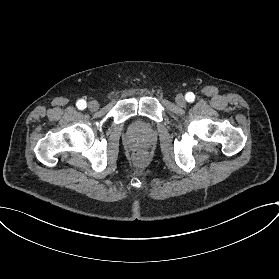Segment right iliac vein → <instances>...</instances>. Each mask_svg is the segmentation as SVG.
Masks as SVG:
<instances>
[{
  "label": "right iliac vein",
  "mask_w": 279,
  "mask_h": 279,
  "mask_svg": "<svg viewBox=\"0 0 279 279\" xmlns=\"http://www.w3.org/2000/svg\"><path fill=\"white\" fill-rule=\"evenodd\" d=\"M99 108V103L95 100H92L88 103V109L90 111H96Z\"/></svg>",
  "instance_id": "63e3f726"
}]
</instances>
